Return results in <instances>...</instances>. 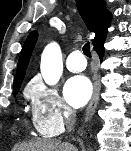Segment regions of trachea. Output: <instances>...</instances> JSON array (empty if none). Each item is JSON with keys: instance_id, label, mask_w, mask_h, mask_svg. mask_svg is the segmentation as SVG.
Listing matches in <instances>:
<instances>
[{"instance_id": "trachea-1", "label": "trachea", "mask_w": 131, "mask_h": 151, "mask_svg": "<svg viewBox=\"0 0 131 151\" xmlns=\"http://www.w3.org/2000/svg\"><path fill=\"white\" fill-rule=\"evenodd\" d=\"M82 50H83V53H84L87 57H91L90 43H89V42H87V43L83 46Z\"/></svg>"}]
</instances>
